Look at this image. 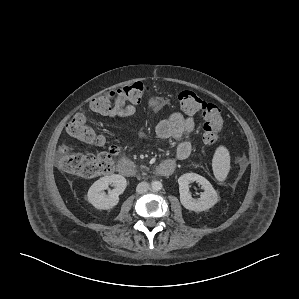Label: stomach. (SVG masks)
I'll return each mask as SVG.
<instances>
[{"mask_svg":"<svg viewBox=\"0 0 299 299\" xmlns=\"http://www.w3.org/2000/svg\"><path fill=\"white\" fill-rule=\"evenodd\" d=\"M165 104V101L159 97L151 98L148 102L149 107L155 112L160 111Z\"/></svg>","mask_w":299,"mask_h":299,"instance_id":"stomach-1","label":"stomach"}]
</instances>
